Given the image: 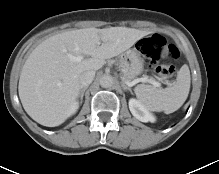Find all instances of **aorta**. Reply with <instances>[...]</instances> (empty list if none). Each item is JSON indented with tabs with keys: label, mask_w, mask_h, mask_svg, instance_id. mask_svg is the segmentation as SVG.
<instances>
[{
	"label": "aorta",
	"mask_w": 219,
	"mask_h": 174,
	"mask_svg": "<svg viewBox=\"0 0 219 174\" xmlns=\"http://www.w3.org/2000/svg\"><path fill=\"white\" fill-rule=\"evenodd\" d=\"M114 84L113 77L111 75H103L100 78V85L103 88H109L112 87Z\"/></svg>",
	"instance_id": "aorta-1"
}]
</instances>
